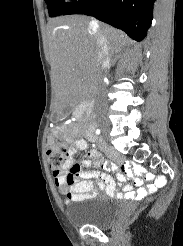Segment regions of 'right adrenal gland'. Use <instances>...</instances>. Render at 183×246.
Segmentation results:
<instances>
[{
	"label": "right adrenal gland",
	"mask_w": 183,
	"mask_h": 246,
	"mask_svg": "<svg viewBox=\"0 0 183 246\" xmlns=\"http://www.w3.org/2000/svg\"><path fill=\"white\" fill-rule=\"evenodd\" d=\"M118 57H119V54H118V53H115V54L113 55V60H112V62H111V66H114V65H115V63H116Z\"/></svg>",
	"instance_id": "1"
}]
</instances>
